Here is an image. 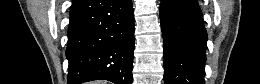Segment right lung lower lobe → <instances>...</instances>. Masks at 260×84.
<instances>
[{
  "label": "right lung lower lobe",
  "mask_w": 260,
  "mask_h": 84,
  "mask_svg": "<svg viewBox=\"0 0 260 84\" xmlns=\"http://www.w3.org/2000/svg\"><path fill=\"white\" fill-rule=\"evenodd\" d=\"M133 51L131 0L72 3L66 49L68 84L98 79L132 84Z\"/></svg>",
  "instance_id": "obj_1"
}]
</instances>
